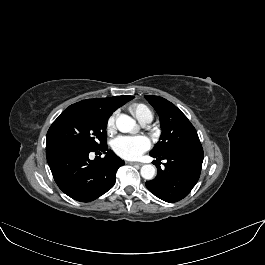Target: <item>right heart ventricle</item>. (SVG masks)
I'll list each match as a JSON object with an SVG mask.
<instances>
[{
  "label": "right heart ventricle",
  "instance_id": "obj_1",
  "mask_svg": "<svg viewBox=\"0 0 265 265\" xmlns=\"http://www.w3.org/2000/svg\"><path fill=\"white\" fill-rule=\"evenodd\" d=\"M129 110L140 123H149L153 119L151 109L143 103H134Z\"/></svg>",
  "mask_w": 265,
  "mask_h": 265
}]
</instances>
